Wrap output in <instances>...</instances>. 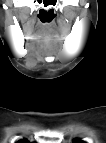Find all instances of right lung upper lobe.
<instances>
[{
  "label": "right lung upper lobe",
  "instance_id": "1",
  "mask_svg": "<svg viewBox=\"0 0 106 143\" xmlns=\"http://www.w3.org/2000/svg\"><path fill=\"white\" fill-rule=\"evenodd\" d=\"M17 143H28V141L23 139V140L18 141Z\"/></svg>",
  "mask_w": 106,
  "mask_h": 143
}]
</instances>
